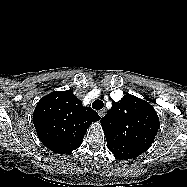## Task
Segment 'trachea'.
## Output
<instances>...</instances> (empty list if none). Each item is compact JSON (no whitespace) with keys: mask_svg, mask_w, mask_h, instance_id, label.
<instances>
[{"mask_svg":"<svg viewBox=\"0 0 187 187\" xmlns=\"http://www.w3.org/2000/svg\"><path fill=\"white\" fill-rule=\"evenodd\" d=\"M104 107V103L102 100L97 99L92 103V108L95 110H100Z\"/></svg>","mask_w":187,"mask_h":187,"instance_id":"1","label":"trachea"}]
</instances>
